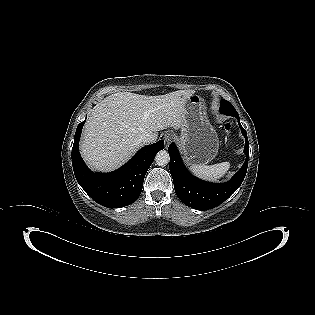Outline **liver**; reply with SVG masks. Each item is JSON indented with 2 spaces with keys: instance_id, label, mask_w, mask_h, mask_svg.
<instances>
[{
  "instance_id": "1",
  "label": "liver",
  "mask_w": 315,
  "mask_h": 315,
  "mask_svg": "<svg viewBox=\"0 0 315 315\" xmlns=\"http://www.w3.org/2000/svg\"><path fill=\"white\" fill-rule=\"evenodd\" d=\"M194 90L158 96L118 92L90 111L80 144L81 155L97 171H112L127 162L142 146L140 138L173 127L181 129L185 105Z\"/></svg>"
}]
</instances>
